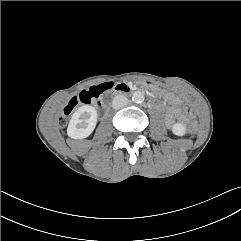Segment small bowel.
Masks as SVG:
<instances>
[{
	"label": "small bowel",
	"instance_id": "small-bowel-1",
	"mask_svg": "<svg viewBox=\"0 0 241 241\" xmlns=\"http://www.w3.org/2000/svg\"><path fill=\"white\" fill-rule=\"evenodd\" d=\"M165 97L171 102V107L167 109L166 122L172 124L176 117H180L181 101L179 98L171 94H165Z\"/></svg>",
	"mask_w": 241,
	"mask_h": 241
}]
</instances>
